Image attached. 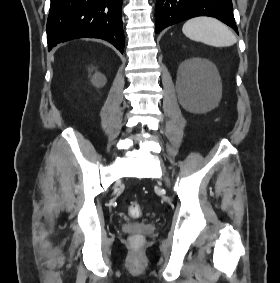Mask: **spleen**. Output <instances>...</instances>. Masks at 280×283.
<instances>
[{"instance_id":"spleen-1","label":"spleen","mask_w":280,"mask_h":283,"mask_svg":"<svg viewBox=\"0 0 280 283\" xmlns=\"http://www.w3.org/2000/svg\"><path fill=\"white\" fill-rule=\"evenodd\" d=\"M183 33L194 41L215 47H229L236 43V36L222 22L211 17H195L186 21Z\"/></svg>"}]
</instances>
